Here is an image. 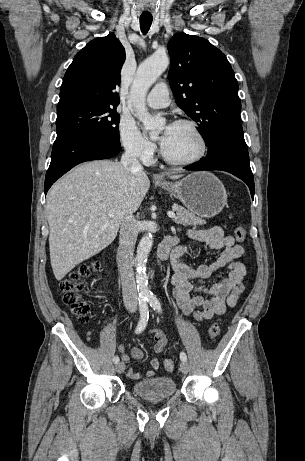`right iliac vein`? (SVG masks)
Masks as SVG:
<instances>
[{"mask_svg": "<svg viewBox=\"0 0 305 461\" xmlns=\"http://www.w3.org/2000/svg\"><path fill=\"white\" fill-rule=\"evenodd\" d=\"M125 370V364L123 362H120L116 365V371L118 373H123Z\"/></svg>", "mask_w": 305, "mask_h": 461, "instance_id": "obj_1", "label": "right iliac vein"}]
</instances>
